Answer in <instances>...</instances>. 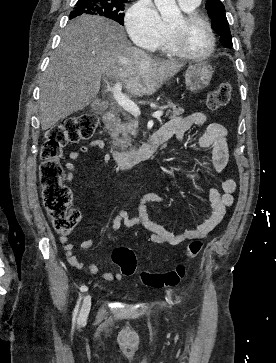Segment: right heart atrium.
I'll return each mask as SVG.
<instances>
[{
	"instance_id": "1",
	"label": "right heart atrium",
	"mask_w": 276,
	"mask_h": 363,
	"mask_svg": "<svg viewBox=\"0 0 276 363\" xmlns=\"http://www.w3.org/2000/svg\"><path fill=\"white\" fill-rule=\"evenodd\" d=\"M126 27L139 46L155 50L164 39L167 27L152 0H138L128 10Z\"/></svg>"
}]
</instances>
